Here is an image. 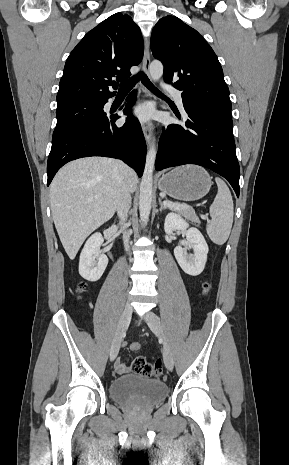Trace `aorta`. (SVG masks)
I'll use <instances>...</instances> for the list:
<instances>
[{
    "mask_svg": "<svg viewBox=\"0 0 289 465\" xmlns=\"http://www.w3.org/2000/svg\"><path fill=\"white\" fill-rule=\"evenodd\" d=\"M150 77L153 81H158L163 75V65L160 61L154 60L149 67ZM156 159V144L153 139L147 151L144 172L140 184L139 213L143 223L149 219L152 203L153 171Z\"/></svg>",
    "mask_w": 289,
    "mask_h": 465,
    "instance_id": "aorta-1",
    "label": "aorta"
}]
</instances>
